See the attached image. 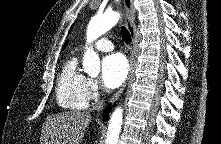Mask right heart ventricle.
<instances>
[{
	"label": "right heart ventricle",
	"mask_w": 221,
	"mask_h": 144,
	"mask_svg": "<svg viewBox=\"0 0 221 144\" xmlns=\"http://www.w3.org/2000/svg\"><path fill=\"white\" fill-rule=\"evenodd\" d=\"M87 77L78 68L77 58L68 59L60 72L56 99L58 104L68 110H83L88 106L86 95Z\"/></svg>",
	"instance_id": "1"
}]
</instances>
